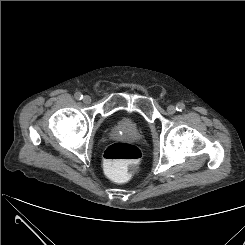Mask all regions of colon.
<instances>
[{
  "label": "colon",
  "instance_id": "obj_1",
  "mask_svg": "<svg viewBox=\"0 0 245 245\" xmlns=\"http://www.w3.org/2000/svg\"><path fill=\"white\" fill-rule=\"evenodd\" d=\"M141 157L142 151L138 146L116 142L106 148L104 166L112 180L124 182L127 179L129 167L138 163Z\"/></svg>",
  "mask_w": 245,
  "mask_h": 245
}]
</instances>
